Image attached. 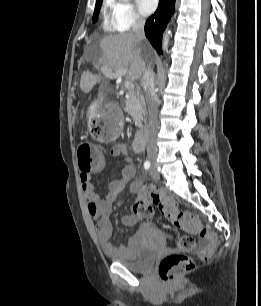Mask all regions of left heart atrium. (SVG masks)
I'll use <instances>...</instances> for the list:
<instances>
[{
    "label": "left heart atrium",
    "mask_w": 261,
    "mask_h": 306,
    "mask_svg": "<svg viewBox=\"0 0 261 306\" xmlns=\"http://www.w3.org/2000/svg\"><path fill=\"white\" fill-rule=\"evenodd\" d=\"M136 2L140 13L143 15L151 14L158 5V0H136Z\"/></svg>",
    "instance_id": "left-heart-atrium-1"
}]
</instances>
